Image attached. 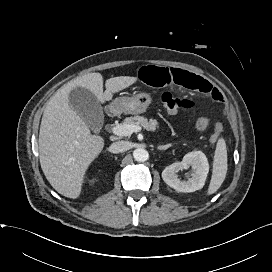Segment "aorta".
I'll return each instance as SVG.
<instances>
[{"label": "aorta", "instance_id": "762f6f07", "mask_svg": "<svg viewBox=\"0 0 272 272\" xmlns=\"http://www.w3.org/2000/svg\"><path fill=\"white\" fill-rule=\"evenodd\" d=\"M148 152L143 148H137L133 151V157L138 162H144L148 159Z\"/></svg>", "mask_w": 272, "mask_h": 272}]
</instances>
